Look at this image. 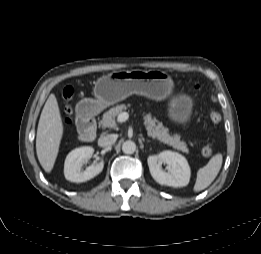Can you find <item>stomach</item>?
<instances>
[{
  "instance_id": "1",
  "label": "stomach",
  "mask_w": 261,
  "mask_h": 254,
  "mask_svg": "<svg viewBox=\"0 0 261 254\" xmlns=\"http://www.w3.org/2000/svg\"><path fill=\"white\" fill-rule=\"evenodd\" d=\"M173 86L171 77L164 71H113L97 80L96 99H88L84 105L88 112L95 113L132 94L160 101L171 95ZM191 109L192 100L188 96H178L171 100L168 116L175 122L185 123L190 119Z\"/></svg>"
}]
</instances>
